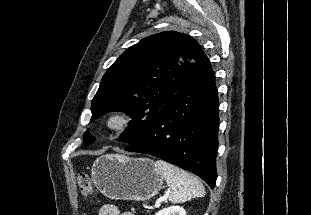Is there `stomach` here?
<instances>
[{
	"instance_id": "1",
	"label": "stomach",
	"mask_w": 311,
	"mask_h": 215,
	"mask_svg": "<svg viewBox=\"0 0 311 215\" xmlns=\"http://www.w3.org/2000/svg\"><path fill=\"white\" fill-rule=\"evenodd\" d=\"M92 179L104 196L138 202L154 197L164 180L154 161L120 154L97 158L92 168Z\"/></svg>"
}]
</instances>
